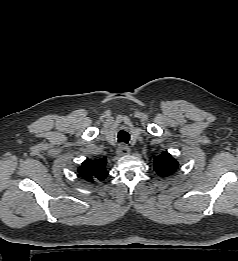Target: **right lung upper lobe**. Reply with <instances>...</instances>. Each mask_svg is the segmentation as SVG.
<instances>
[{
    "mask_svg": "<svg viewBox=\"0 0 238 261\" xmlns=\"http://www.w3.org/2000/svg\"><path fill=\"white\" fill-rule=\"evenodd\" d=\"M106 162V157L101 160L86 159L78 168V173L83 179L90 182L103 181L107 176Z\"/></svg>",
    "mask_w": 238,
    "mask_h": 261,
    "instance_id": "right-lung-upper-lobe-1",
    "label": "right lung upper lobe"
}]
</instances>
